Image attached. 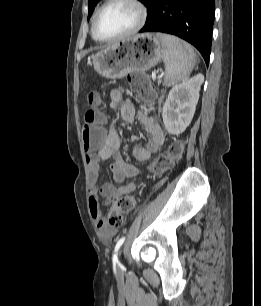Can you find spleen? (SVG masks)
<instances>
[{"instance_id": "obj_1", "label": "spleen", "mask_w": 261, "mask_h": 306, "mask_svg": "<svg viewBox=\"0 0 261 306\" xmlns=\"http://www.w3.org/2000/svg\"><path fill=\"white\" fill-rule=\"evenodd\" d=\"M162 44L165 64V85L172 86L187 79L196 63L193 48L185 41L168 34L157 33Z\"/></svg>"}]
</instances>
